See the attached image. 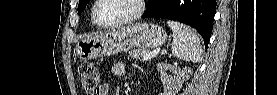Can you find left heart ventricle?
I'll return each instance as SVG.
<instances>
[{
    "mask_svg": "<svg viewBox=\"0 0 277 95\" xmlns=\"http://www.w3.org/2000/svg\"><path fill=\"white\" fill-rule=\"evenodd\" d=\"M135 11L131 0H102L96 9V16L102 23H108L130 16Z\"/></svg>",
    "mask_w": 277,
    "mask_h": 95,
    "instance_id": "b2bd125f",
    "label": "left heart ventricle"
}]
</instances>
